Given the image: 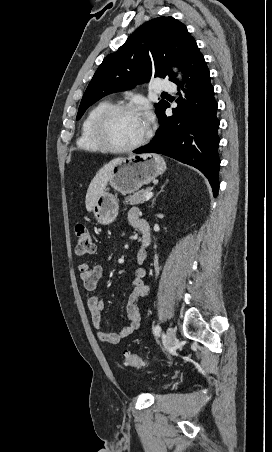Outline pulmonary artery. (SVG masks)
Listing matches in <instances>:
<instances>
[{
    "label": "pulmonary artery",
    "mask_w": 272,
    "mask_h": 452,
    "mask_svg": "<svg viewBox=\"0 0 272 452\" xmlns=\"http://www.w3.org/2000/svg\"><path fill=\"white\" fill-rule=\"evenodd\" d=\"M177 86L175 82L168 81L167 79H158L155 83V91L161 92H172L176 91Z\"/></svg>",
    "instance_id": "obj_1"
}]
</instances>
